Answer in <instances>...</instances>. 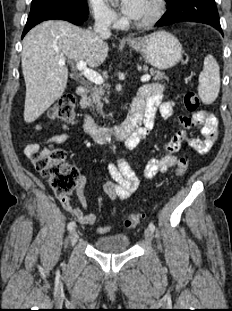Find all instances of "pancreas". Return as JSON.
I'll use <instances>...</instances> for the list:
<instances>
[{
    "mask_svg": "<svg viewBox=\"0 0 232 311\" xmlns=\"http://www.w3.org/2000/svg\"><path fill=\"white\" fill-rule=\"evenodd\" d=\"M143 69L146 71L147 67H144ZM149 71L151 75L154 76L153 78L154 81H161L163 79H167L165 74L160 71H156L153 68H151ZM107 93L109 94V92ZM104 94H105V91L102 89V87L95 86L90 90L89 96L84 97L81 102L84 106H87L92 109L96 108L99 113H103V102L102 101H105V102L108 101L107 98L104 97Z\"/></svg>",
    "mask_w": 232,
    "mask_h": 311,
    "instance_id": "obj_1",
    "label": "pancreas"
}]
</instances>
